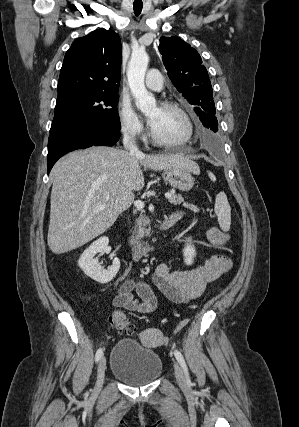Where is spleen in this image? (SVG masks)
<instances>
[{
  "instance_id": "3e777b00",
  "label": "spleen",
  "mask_w": 299,
  "mask_h": 427,
  "mask_svg": "<svg viewBox=\"0 0 299 427\" xmlns=\"http://www.w3.org/2000/svg\"><path fill=\"white\" fill-rule=\"evenodd\" d=\"M208 176L211 181H216V177L213 173L208 172ZM214 210L220 228L225 232L229 231L231 225V208L224 192H220L216 195Z\"/></svg>"
}]
</instances>
